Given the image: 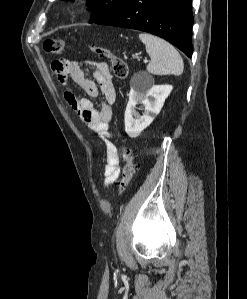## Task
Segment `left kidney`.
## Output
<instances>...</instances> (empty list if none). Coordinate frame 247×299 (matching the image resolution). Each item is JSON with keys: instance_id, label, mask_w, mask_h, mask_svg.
Instances as JSON below:
<instances>
[{"instance_id": "left-kidney-1", "label": "left kidney", "mask_w": 247, "mask_h": 299, "mask_svg": "<svg viewBox=\"0 0 247 299\" xmlns=\"http://www.w3.org/2000/svg\"><path fill=\"white\" fill-rule=\"evenodd\" d=\"M172 89L171 85H154L148 90L131 88L124 117L125 131L129 137H137L153 122ZM137 104L144 107L142 116L135 110Z\"/></svg>"}]
</instances>
